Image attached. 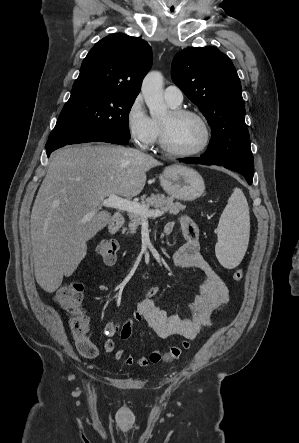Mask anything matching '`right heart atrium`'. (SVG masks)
<instances>
[{
    "mask_svg": "<svg viewBox=\"0 0 299 443\" xmlns=\"http://www.w3.org/2000/svg\"><path fill=\"white\" fill-rule=\"evenodd\" d=\"M125 123L132 142L139 148L147 149L158 135L154 120L148 115L143 97L135 96L126 109Z\"/></svg>",
    "mask_w": 299,
    "mask_h": 443,
    "instance_id": "obj_1",
    "label": "right heart atrium"
}]
</instances>
